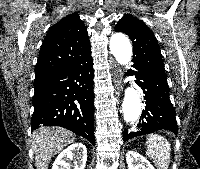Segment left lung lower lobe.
I'll return each mask as SVG.
<instances>
[{
    "label": "left lung lower lobe",
    "instance_id": "1",
    "mask_svg": "<svg viewBox=\"0 0 200 169\" xmlns=\"http://www.w3.org/2000/svg\"><path fill=\"white\" fill-rule=\"evenodd\" d=\"M132 74L145 94V111L139 124L132 130H124L123 140L134 138L157 130L178 133L175 109L169 98L167 78L148 67L133 65Z\"/></svg>",
    "mask_w": 200,
    "mask_h": 169
}]
</instances>
